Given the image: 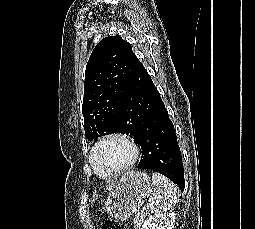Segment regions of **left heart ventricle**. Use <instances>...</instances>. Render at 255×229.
<instances>
[{
	"label": "left heart ventricle",
	"mask_w": 255,
	"mask_h": 229,
	"mask_svg": "<svg viewBox=\"0 0 255 229\" xmlns=\"http://www.w3.org/2000/svg\"><path fill=\"white\" fill-rule=\"evenodd\" d=\"M132 158V150L128 144L119 139H111L103 143L97 152V159L102 165L115 169L126 165Z\"/></svg>",
	"instance_id": "b2bd125f"
}]
</instances>
